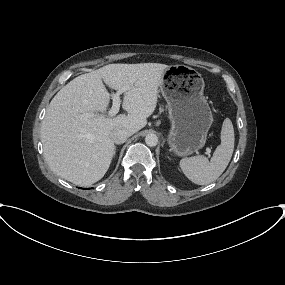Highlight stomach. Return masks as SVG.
<instances>
[{
	"instance_id": "obj_1",
	"label": "stomach",
	"mask_w": 285,
	"mask_h": 285,
	"mask_svg": "<svg viewBox=\"0 0 285 285\" xmlns=\"http://www.w3.org/2000/svg\"><path fill=\"white\" fill-rule=\"evenodd\" d=\"M204 86L201 74L187 66H169L162 74L160 90L171 122L166 140L177 156L191 155L206 143L213 115Z\"/></svg>"
}]
</instances>
